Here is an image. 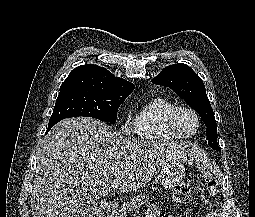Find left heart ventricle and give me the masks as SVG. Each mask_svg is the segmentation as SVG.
Instances as JSON below:
<instances>
[{
    "label": "left heart ventricle",
    "instance_id": "1",
    "mask_svg": "<svg viewBox=\"0 0 255 217\" xmlns=\"http://www.w3.org/2000/svg\"><path fill=\"white\" fill-rule=\"evenodd\" d=\"M180 124L186 132H193L196 128L195 119L188 113L181 114Z\"/></svg>",
    "mask_w": 255,
    "mask_h": 217
}]
</instances>
